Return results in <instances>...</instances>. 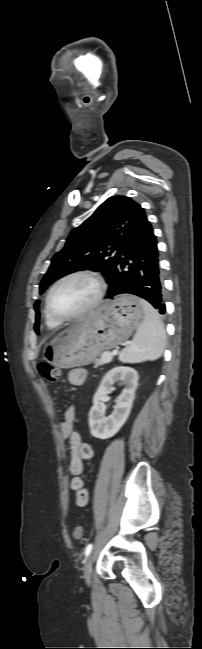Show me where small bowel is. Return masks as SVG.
Returning <instances> with one entry per match:
<instances>
[{
    "mask_svg": "<svg viewBox=\"0 0 202 649\" xmlns=\"http://www.w3.org/2000/svg\"><path fill=\"white\" fill-rule=\"evenodd\" d=\"M87 377L83 368L72 369L69 373V382L72 385H82ZM75 409L72 405L67 406L63 412V420L60 426L61 437L68 443L69 464L68 469L73 477L71 487L76 492V503L84 506L88 501V492L84 487L87 477L81 478L84 471L83 461L92 456V449L88 444L82 442L81 436L74 430Z\"/></svg>",
    "mask_w": 202,
    "mask_h": 649,
    "instance_id": "small-bowel-1",
    "label": "small bowel"
}]
</instances>
